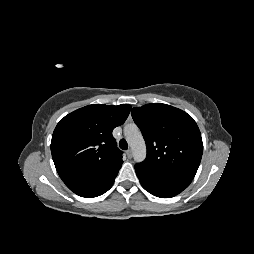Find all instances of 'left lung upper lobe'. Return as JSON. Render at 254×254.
Returning <instances> with one entry per match:
<instances>
[{"label":"left lung upper lobe","mask_w":254,"mask_h":254,"mask_svg":"<svg viewBox=\"0 0 254 254\" xmlns=\"http://www.w3.org/2000/svg\"><path fill=\"white\" fill-rule=\"evenodd\" d=\"M131 115L147 147L146 159L140 164L157 173L193 180L203 153L194 119L162 103L135 107Z\"/></svg>","instance_id":"obj_1"}]
</instances>
